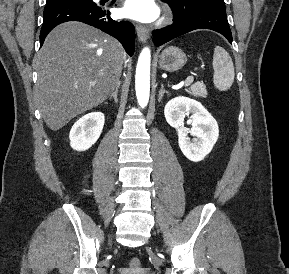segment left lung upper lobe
I'll return each instance as SVG.
<instances>
[{
	"mask_svg": "<svg viewBox=\"0 0 289 274\" xmlns=\"http://www.w3.org/2000/svg\"><path fill=\"white\" fill-rule=\"evenodd\" d=\"M167 3L173 14L180 19L201 8H218L225 10L224 0H162Z\"/></svg>",
	"mask_w": 289,
	"mask_h": 274,
	"instance_id": "5c2ea615",
	"label": "left lung upper lobe"
}]
</instances>
